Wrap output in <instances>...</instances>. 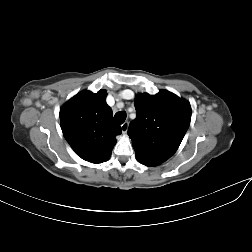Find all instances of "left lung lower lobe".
<instances>
[{
    "label": "left lung lower lobe",
    "instance_id": "0a47b994",
    "mask_svg": "<svg viewBox=\"0 0 252 252\" xmlns=\"http://www.w3.org/2000/svg\"><path fill=\"white\" fill-rule=\"evenodd\" d=\"M136 159L139 163L146 165V166H149V167H154V166H157L160 164L159 162H157L155 160H151V159L145 158L140 155H136Z\"/></svg>",
    "mask_w": 252,
    "mask_h": 252
}]
</instances>
